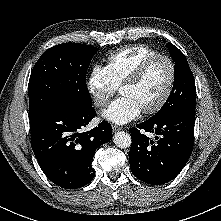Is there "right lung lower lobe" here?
<instances>
[{
  "label": "right lung lower lobe",
  "instance_id": "98d812e1",
  "mask_svg": "<svg viewBox=\"0 0 221 221\" xmlns=\"http://www.w3.org/2000/svg\"><path fill=\"white\" fill-rule=\"evenodd\" d=\"M95 116L92 105L79 109L62 102L48 104L29 116L32 149L42 171L56 185L77 189L93 179L94 152L112 138L107 121L81 131Z\"/></svg>",
  "mask_w": 221,
  "mask_h": 221
}]
</instances>
